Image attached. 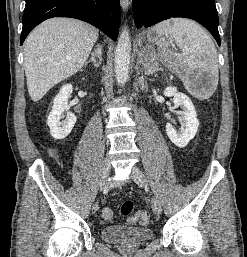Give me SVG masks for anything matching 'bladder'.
Returning a JSON list of instances; mask_svg holds the SVG:
<instances>
[{
    "label": "bladder",
    "mask_w": 247,
    "mask_h": 257,
    "mask_svg": "<svg viewBox=\"0 0 247 257\" xmlns=\"http://www.w3.org/2000/svg\"><path fill=\"white\" fill-rule=\"evenodd\" d=\"M103 240L119 245H140L153 237V231L148 227L124 225H109L101 229Z\"/></svg>",
    "instance_id": "31cf9c89"
}]
</instances>
